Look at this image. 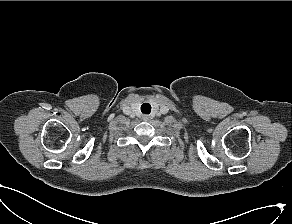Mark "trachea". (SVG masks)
Here are the masks:
<instances>
[{"label": "trachea", "instance_id": "1", "mask_svg": "<svg viewBox=\"0 0 292 224\" xmlns=\"http://www.w3.org/2000/svg\"><path fill=\"white\" fill-rule=\"evenodd\" d=\"M141 111L144 114H149L151 112V105L149 103L142 104Z\"/></svg>", "mask_w": 292, "mask_h": 224}]
</instances>
